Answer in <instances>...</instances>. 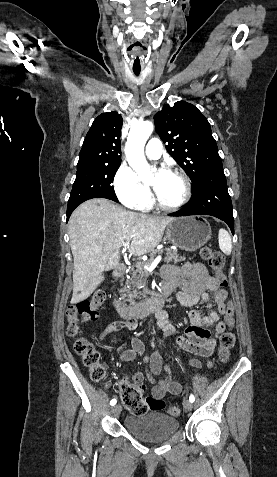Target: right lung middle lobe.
Returning a JSON list of instances; mask_svg holds the SVG:
<instances>
[{"mask_svg": "<svg viewBox=\"0 0 277 477\" xmlns=\"http://www.w3.org/2000/svg\"><path fill=\"white\" fill-rule=\"evenodd\" d=\"M120 164L89 166L77 169L76 179L68 200L67 218L82 202L92 198H107L118 202L111 185Z\"/></svg>", "mask_w": 277, "mask_h": 477, "instance_id": "dd1d6c3e", "label": "right lung middle lobe"}]
</instances>
